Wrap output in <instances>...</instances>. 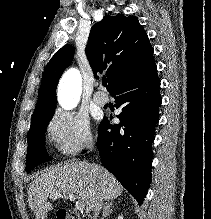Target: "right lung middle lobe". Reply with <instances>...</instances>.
Listing matches in <instances>:
<instances>
[{"label": "right lung middle lobe", "instance_id": "obj_1", "mask_svg": "<svg viewBox=\"0 0 211 219\" xmlns=\"http://www.w3.org/2000/svg\"><path fill=\"white\" fill-rule=\"evenodd\" d=\"M54 115V111L32 117L28 131V148L26 156V172H30L38 164L51 160L44 146L45 131Z\"/></svg>", "mask_w": 211, "mask_h": 219}]
</instances>
